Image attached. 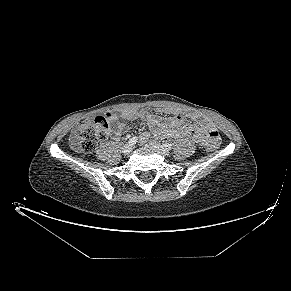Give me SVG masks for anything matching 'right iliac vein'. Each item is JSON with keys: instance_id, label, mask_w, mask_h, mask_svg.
<instances>
[{"instance_id": "obj_1", "label": "right iliac vein", "mask_w": 291, "mask_h": 291, "mask_svg": "<svg viewBox=\"0 0 291 291\" xmlns=\"http://www.w3.org/2000/svg\"><path fill=\"white\" fill-rule=\"evenodd\" d=\"M132 149H133V147L131 144H126V145H124L122 151L124 154L128 155L132 152Z\"/></svg>"}]
</instances>
